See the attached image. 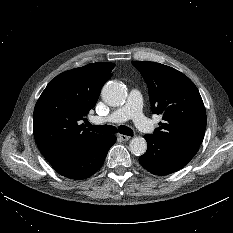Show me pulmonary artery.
<instances>
[{"label":"pulmonary artery","mask_w":233,"mask_h":233,"mask_svg":"<svg viewBox=\"0 0 233 233\" xmlns=\"http://www.w3.org/2000/svg\"><path fill=\"white\" fill-rule=\"evenodd\" d=\"M143 96L138 89H132L126 103L110 114L95 118L100 123H120L132 119L136 127L145 132H151L153 125L142 113Z\"/></svg>","instance_id":"pulmonary-artery-1"}]
</instances>
